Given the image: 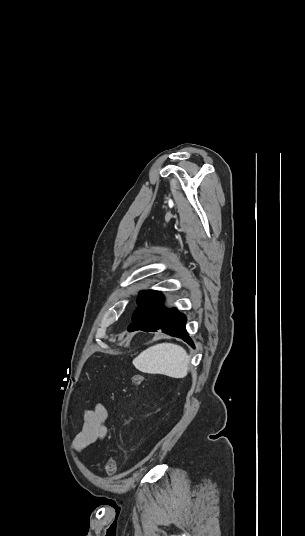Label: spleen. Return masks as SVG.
Here are the masks:
<instances>
[{
  "instance_id": "spleen-1",
  "label": "spleen",
  "mask_w": 305,
  "mask_h": 536,
  "mask_svg": "<svg viewBox=\"0 0 305 536\" xmlns=\"http://www.w3.org/2000/svg\"><path fill=\"white\" fill-rule=\"evenodd\" d=\"M190 356L176 344H156L141 352L132 364L144 374H163L169 378H185Z\"/></svg>"
}]
</instances>
